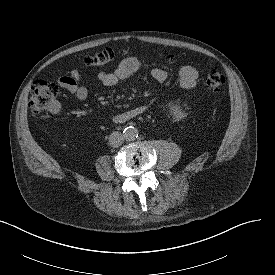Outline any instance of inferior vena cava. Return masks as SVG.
<instances>
[{
    "label": "inferior vena cava",
    "mask_w": 275,
    "mask_h": 275,
    "mask_svg": "<svg viewBox=\"0 0 275 275\" xmlns=\"http://www.w3.org/2000/svg\"><path fill=\"white\" fill-rule=\"evenodd\" d=\"M124 140L123 134L120 132H112L111 135L109 136V144L112 147H118L122 144Z\"/></svg>",
    "instance_id": "inferior-vena-cava-1"
}]
</instances>
